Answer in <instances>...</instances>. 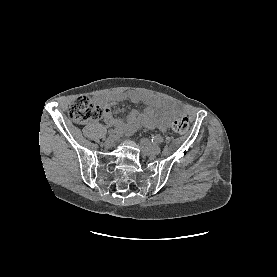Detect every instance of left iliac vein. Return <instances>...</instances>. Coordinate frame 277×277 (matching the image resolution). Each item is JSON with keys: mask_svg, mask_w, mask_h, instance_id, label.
Here are the masks:
<instances>
[{"mask_svg": "<svg viewBox=\"0 0 277 277\" xmlns=\"http://www.w3.org/2000/svg\"><path fill=\"white\" fill-rule=\"evenodd\" d=\"M141 148L145 155L156 156L160 153V147L146 138L141 139Z\"/></svg>", "mask_w": 277, "mask_h": 277, "instance_id": "4c4485c4", "label": "left iliac vein"}]
</instances>
